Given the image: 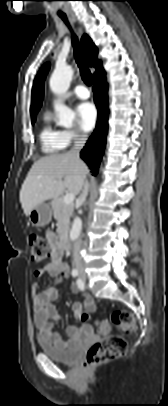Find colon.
I'll list each match as a JSON object with an SVG mask.
<instances>
[{
    "label": "colon",
    "instance_id": "5ec220e1",
    "mask_svg": "<svg viewBox=\"0 0 168 406\" xmlns=\"http://www.w3.org/2000/svg\"><path fill=\"white\" fill-rule=\"evenodd\" d=\"M28 245L30 259L34 263H42L52 254L50 242L37 234L29 236ZM112 326L121 333L127 334L135 328V320L130 312L115 311L109 319L99 321L97 329L104 337L89 348L85 359L87 366L108 362L121 357L126 352L128 347L126 339L121 335L110 334Z\"/></svg>",
    "mask_w": 168,
    "mask_h": 406
}]
</instances>
